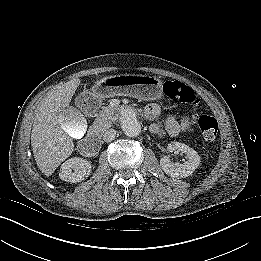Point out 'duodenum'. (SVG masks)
Returning a JSON list of instances; mask_svg holds the SVG:
<instances>
[{
    "label": "duodenum",
    "mask_w": 261,
    "mask_h": 261,
    "mask_svg": "<svg viewBox=\"0 0 261 261\" xmlns=\"http://www.w3.org/2000/svg\"><path fill=\"white\" fill-rule=\"evenodd\" d=\"M128 112L134 114L135 110L129 108ZM110 116L114 118L115 113L113 111L112 112L110 111ZM100 147H101V141L98 133V128L96 127L91 130L89 137L78 145V150L80 154L84 156H90L96 153Z\"/></svg>",
    "instance_id": "duodenum-1"
}]
</instances>
